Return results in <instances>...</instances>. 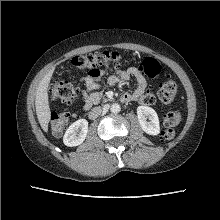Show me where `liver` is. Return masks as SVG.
<instances>
[{
    "label": "liver",
    "mask_w": 220,
    "mask_h": 220,
    "mask_svg": "<svg viewBox=\"0 0 220 220\" xmlns=\"http://www.w3.org/2000/svg\"><path fill=\"white\" fill-rule=\"evenodd\" d=\"M54 69H51L40 81L36 90L35 107L38 121L41 128L47 132L48 124L51 117V111L49 106L48 87L52 77Z\"/></svg>",
    "instance_id": "obj_1"
}]
</instances>
